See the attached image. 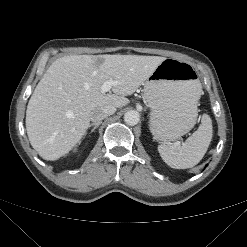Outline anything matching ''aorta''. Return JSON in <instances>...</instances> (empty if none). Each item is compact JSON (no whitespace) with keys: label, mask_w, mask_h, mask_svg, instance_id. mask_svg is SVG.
I'll use <instances>...</instances> for the list:
<instances>
[{"label":"aorta","mask_w":247,"mask_h":247,"mask_svg":"<svg viewBox=\"0 0 247 247\" xmlns=\"http://www.w3.org/2000/svg\"><path fill=\"white\" fill-rule=\"evenodd\" d=\"M124 121L126 124L134 126L140 121V114L135 110L127 111L124 114Z\"/></svg>","instance_id":"aorta-1"}]
</instances>
